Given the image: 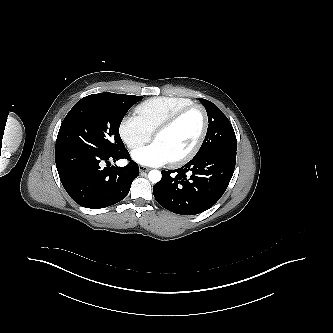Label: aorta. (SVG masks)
I'll return each instance as SVG.
<instances>
[{
    "instance_id": "aorta-1",
    "label": "aorta",
    "mask_w": 333,
    "mask_h": 333,
    "mask_svg": "<svg viewBox=\"0 0 333 333\" xmlns=\"http://www.w3.org/2000/svg\"><path fill=\"white\" fill-rule=\"evenodd\" d=\"M162 174L159 170H151L148 173V178L152 183H157L161 180Z\"/></svg>"
}]
</instances>
